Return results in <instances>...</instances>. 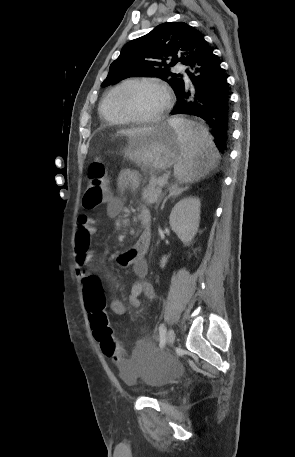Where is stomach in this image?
I'll list each match as a JSON object with an SVG mask.
<instances>
[{
    "mask_svg": "<svg viewBox=\"0 0 295 457\" xmlns=\"http://www.w3.org/2000/svg\"><path fill=\"white\" fill-rule=\"evenodd\" d=\"M179 147L177 131L169 122H163L152 132L129 139L123 155L145 172L155 174L177 163Z\"/></svg>",
    "mask_w": 295,
    "mask_h": 457,
    "instance_id": "obj_1",
    "label": "stomach"
}]
</instances>
